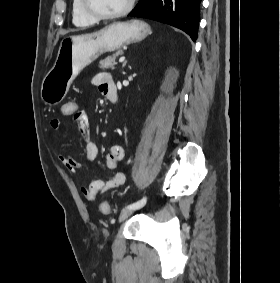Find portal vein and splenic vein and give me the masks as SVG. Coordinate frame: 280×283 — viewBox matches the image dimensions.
<instances>
[{
  "instance_id": "portal-vein-and-splenic-vein-1",
  "label": "portal vein and splenic vein",
  "mask_w": 280,
  "mask_h": 283,
  "mask_svg": "<svg viewBox=\"0 0 280 283\" xmlns=\"http://www.w3.org/2000/svg\"><path fill=\"white\" fill-rule=\"evenodd\" d=\"M124 61H125V56H122V57L119 58V63H122Z\"/></svg>"
}]
</instances>
